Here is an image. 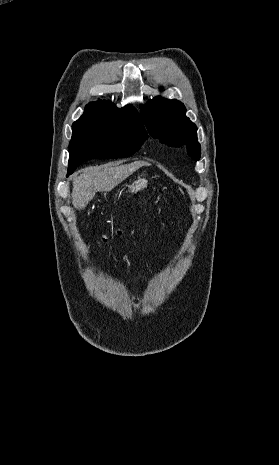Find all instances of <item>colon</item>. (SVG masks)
Segmentation results:
<instances>
[{
    "instance_id": "colon-1",
    "label": "colon",
    "mask_w": 279,
    "mask_h": 465,
    "mask_svg": "<svg viewBox=\"0 0 279 465\" xmlns=\"http://www.w3.org/2000/svg\"><path fill=\"white\" fill-rule=\"evenodd\" d=\"M102 240H103L104 242H106V241H107V237H104Z\"/></svg>"
}]
</instances>
